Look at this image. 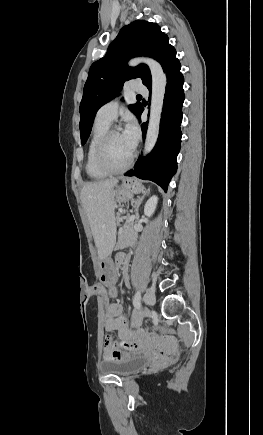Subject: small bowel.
Wrapping results in <instances>:
<instances>
[{
    "label": "small bowel",
    "mask_w": 263,
    "mask_h": 435,
    "mask_svg": "<svg viewBox=\"0 0 263 435\" xmlns=\"http://www.w3.org/2000/svg\"><path fill=\"white\" fill-rule=\"evenodd\" d=\"M131 237H126L125 244L132 243ZM129 256L125 253H118L114 259L115 268H121L123 279L129 283L128 276ZM142 315L135 312L130 318L123 313V308L118 303L107 305L105 317V329L108 332H117L120 341H114L112 350H103V360L112 362L124 359L129 355L151 356L157 364L165 361H177L179 354L174 349L176 344L173 341H163L166 334L163 332L151 331L147 334L141 328ZM124 341V342H123Z\"/></svg>",
    "instance_id": "1"
}]
</instances>
